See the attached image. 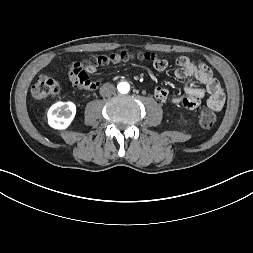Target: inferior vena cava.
Segmentation results:
<instances>
[{
    "label": "inferior vena cava",
    "instance_id": "obj_1",
    "mask_svg": "<svg viewBox=\"0 0 253 253\" xmlns=\"http://www.w3.org/2000/svg\"><path fill=\"white\" fill-rule=\"evenodd\" d=\"M115 90L116 88L113 84L106 83L100 88V95L103 97H110L115 93Z\"/></svg>",
    "mask_w": 253,
    "mask_h": 253
}]
</instances>
